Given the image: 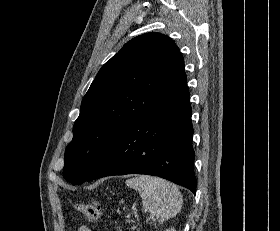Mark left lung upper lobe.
<instances>
[{
	"label": "left lung upper lobe",
	"instance_id": "5c2ea615",
	"mask_svg": "<svg viewBox=\"0 0 280 231\" xmlns=\"http://www.w3.org/2000/svg\"><path fill=\"white\" fill-rule=\"evenodd\" d=\"M184 80L183 57L169 37L146 33L127 42L82 100L65 151L64 178L87 181L116 139Z\"/></svg>",
	"mask_w": 280,
	"mask_h": 231
}]
</instances>
